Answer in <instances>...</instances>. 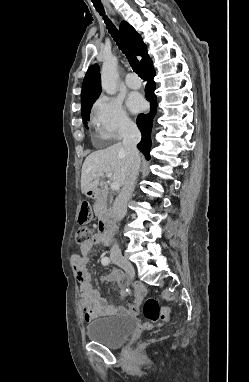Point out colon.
<instances>
[{
	"label": "colon",
	"instance_id": "1",
	"mask_svg": "<svg viewBox=\"0 0 249 382\" xmlns=\"http://www.w3.org/2000/svg\"><path fill=\"white\" fill-rule=\"evenodd\" d=\"M90 218V205L87 202L82 203L79 212V222L81 227L76 231L75 240L79 245L86 243L91 236L90 229L86 225ZM143 315L147 322L144 327L150 329L152 326L161 321L169 319L170 310L168 308H160L158 301L154 297H147L142 306Z\"/></svg>",
	"mask_w": 249,
	"mask_h": 382
}]
</instances>
